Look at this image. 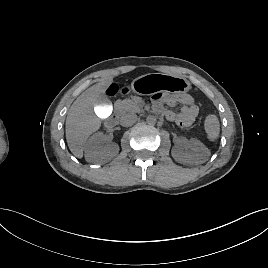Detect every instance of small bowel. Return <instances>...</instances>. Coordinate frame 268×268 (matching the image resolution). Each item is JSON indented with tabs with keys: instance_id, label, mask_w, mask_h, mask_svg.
I'll return each instance as SVG.
<instances>
[{
	"instance_id": "c3829d8e",
	"label": "small bowel",
	"mask_w": 268,
	"mask_h": 268,
	"mask_svg": "<svg viewBox=\"0 0 268 268\" xmlns=\"http://www.w3.org/2000/svg\"><path fill=\"white\" fill-rule=\"evenodd\" d=\"M153 104L157 112L164 114L168 120L175 122L181 128L190 127L199 113L194 99L188 94L175 96L156 93ZM179 104L182 107L178 112L167 108H173Z\"/></svg>"
}]
</instances>
